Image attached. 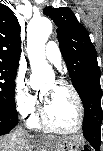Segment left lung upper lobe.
I'll return each mask as SVG.
<instances>
[{"label": "left lung upper lobe", "instance_id": "left-lung-upper-lobe-1", "mask_svg": "<svg viewBox=\"0 0 103 151\" xmlns=\"http://www.w3.org/2000/svg\"><path fill=\"white\" fill-rule=\"evenodd\" d=\"M56 24L59 47L67 64L69 76L78 94L88 76H99L100 68L94 45L85 27L76 19L68 7L44 9Z\"/></svg>", "mask_w": 103, "mask_h": 151}]
</instances>
